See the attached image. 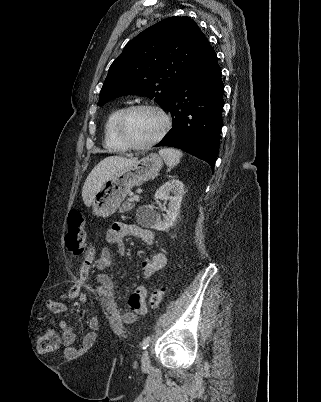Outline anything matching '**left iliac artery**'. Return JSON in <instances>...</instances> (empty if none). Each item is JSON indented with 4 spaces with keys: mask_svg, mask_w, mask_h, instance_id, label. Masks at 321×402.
I'll return each instance as SVG.
<instances>
[{
    "mask_svg": "<svg viewBox=\"0 0 321 402\" xmlns=\"http://www.w3.org/2000/svg\"><path fill=\"white\" fill-rule=\"evenodd\" d=\"M150 341H151V337H150V336H147L146 338H144V340H143V342H142V344H141L142 349H147L148 346H149Z\"/></svg>",
    "mask_w": 321,
    "mask_h": 402,
    "instance_id": "obj_1",
    "label": "left iliac artery"
}]
</instances>
